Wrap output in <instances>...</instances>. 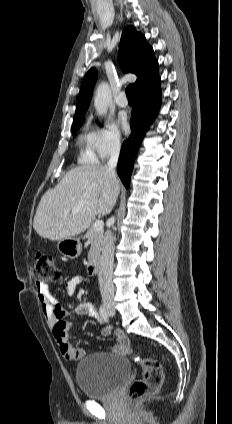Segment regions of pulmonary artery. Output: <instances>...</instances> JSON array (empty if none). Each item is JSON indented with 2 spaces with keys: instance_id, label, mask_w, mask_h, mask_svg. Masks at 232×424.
Wrapping results in <instances>:
<instances>
[{
  "instance_id": "pulmonary-artery-1",
  "label": "pulmonary artery",
  "mask_w": 232,
  "mask_h": 424,
  "mask_svg": "<svg viewBox=\"0 0 232 424\" xmlns=\"http://www.w3.org/2000/svg\"><path fill=\"white\" fill-rule=\"evenodd\" d=\"M116 103L119 107L125 108L128 106V100L126 97V94L124 92H121L118 97L116 98Z\"/></svg>"
}]
</instances>
